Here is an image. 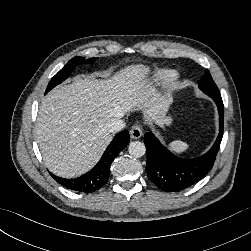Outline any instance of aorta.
<instances>
[{
	"instance_id": "aorta-1",
	"label": "aorta",
	"mask_w": 251,
	"mask_h": 251,
	"mask_svg": "<svg viewBox=\"0 0 251 251\" xmlns=\"http://www.w3.org/2000/svg\"><path fill=\"white\" fill-rule=\"evenodd\" d=\"M129 154L135 158L144 156L146 153V147L143 142L133 141L129 144Z\"/></svg>"
}]
</instances>
